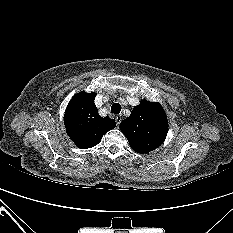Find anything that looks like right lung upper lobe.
Instances as JSON below:
<instances>
[{
    "instance_id": "right-lung-upper-lobe-1",
    "label": "right lung upper lobe",
    "mask_w": 233,
    "mask_h": 233,
    "mask_svg": "<svg viewBox=\"0 0 233 233\" xmlns=\"http://www.w3.org/2000/svg\"><path fill=\"white\" fill-rule=\"evenodd\" d=\"M95 96V92H79L69 102L64 115L68 136L82 149L97 145L102 136L116 126L114 119L98 114Z\"/></svg>"
}]
</instances>
